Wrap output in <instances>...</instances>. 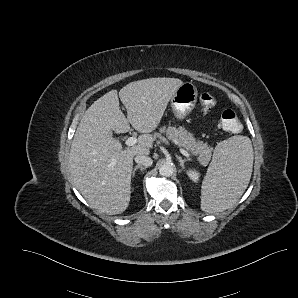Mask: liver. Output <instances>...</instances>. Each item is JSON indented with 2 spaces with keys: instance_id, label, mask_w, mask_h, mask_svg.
Masks as SVG:
<instances>
[{
  "instance_id": "obj_1",
  "label": "liver",
  "mask_w": 298,
  "mask_h": 298,
  "mask_svg": "<svg viewBox=\"0 0 298 298\" xmlns=\"http://www.w3.org/2000/svg\"><path fill=\"white\" fill-rule=\"evenodd\" d=\"M182 83L175 77L133 81L119 93L108 91L86 110L72 140L69 168L75 186L91 206L105 214H119L127 208L133 157L149 154L155 137L141 136L139 144L124 149L112 131L127 133L131 126L141 133L154 130Z\"/></svg>"
}]
</instances>
